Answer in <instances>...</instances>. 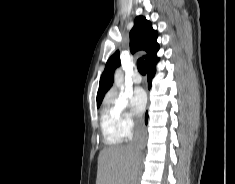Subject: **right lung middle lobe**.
Masks as SVG:
<instances>
[{"mask_svg": "<svg viewBox=\"0 0 235 184\" xmlns=\"http://www.w3.org/2000/svg\"><path fill=\"white\" fill-rule=\"evenodd\" d=\"M100 106V104H97V107H99Z\"/></svg>", "mask_w": 235, "mask_h": 184, "instance_id": "dd1d6c3e", "label": "right lung middle lobe"}]
</instances>
